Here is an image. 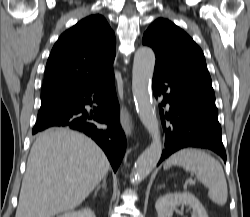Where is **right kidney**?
Masks as SVG:
<instances>
[{
    "label": "right kidney",
    "mask_w": 250,
    "mask_h": 217,
    "mask_svg": "<svg viewBox=\"0 0 250 217\" xmlns=\"http://www.w3.org/2000/svg\"><path fill=\"white\" fill-rule=\"evenodd\" d=\"M59 217H95V214L89 208H84L78 211L67 212Z\"/></svg>",
    "instance_id": "1"
}]
</instances>
